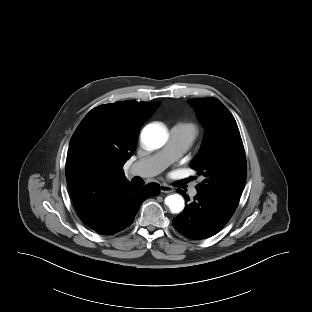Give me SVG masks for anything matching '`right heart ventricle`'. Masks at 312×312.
Here are the masks:
<instances>
[{
  "mask_svg": "<svg viewBox=\"0 0 312 312\" xmlns=\"http://www.w3.org/2000/svg\"><path fill=\"white\" fill-rule=\"evenodd\" d=\"M178 126H180L181 128L185 129L187 132H189L192 138L194 139V137L197 134V126L194 123H183V124H179Z\"/></svg>",
  "mask_w": 312,
  "mask_h": 312,
  "instance_id": "obj_1",
  "label": "right heart ventricle"
}]
</instances>
